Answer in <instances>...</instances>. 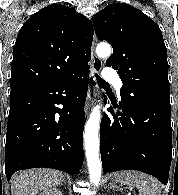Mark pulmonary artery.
<instances>
[{"mask_svg":"<svg viewBox=\"0 0 178 195\" xmlns=\"http://www.w3.org/2000/svg\"><path fill=\"white\" fill-rule=\"evenodd\" d=\"M104 77L107 83L113 84L118 92L122 86V81L111 67H106L104 70Z\"/></svg>","mask_w":178,"mask_h":195,"instance_id":"1","label":"pulmonary artery"}]
</instances>
